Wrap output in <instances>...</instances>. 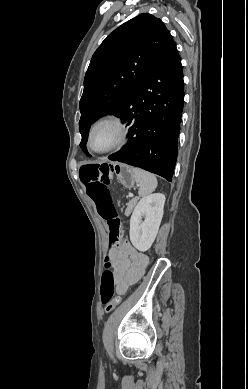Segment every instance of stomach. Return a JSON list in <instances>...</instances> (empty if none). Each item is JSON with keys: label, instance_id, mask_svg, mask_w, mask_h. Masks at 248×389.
I'll list each match as a JSON object with an SVG mask.
<instances>
[{"label": "stomach", "instance_id": "0dacf381", "mask_svg": "<svg viewBox=\"0 0 248 389\" xmlns=\"http://www.w3.org/2000/svg\"><path fill=\"white\" fill-rule=\"evenodd\" d=\"M111 170L114 171V176H117L118 181L125 187H133L135 181L131 174V167L126 164H112Z\"/></svg>", "mask_w": 248, "mask_h": 389}]
</instances>
